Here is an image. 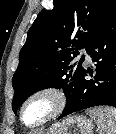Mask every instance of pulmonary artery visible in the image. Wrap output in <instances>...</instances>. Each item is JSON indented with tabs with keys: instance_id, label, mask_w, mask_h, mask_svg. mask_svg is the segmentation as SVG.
Masks as SVG:
<instances>
[{
	"instance_id": "e3ab8cb5",
	"label": "pulmonary artery",
	"mask_w": 116,
	"mask_h": 134,
	"mask_svg": "<svg viewBox=\"0 0 116 134\" xmlns=\"http://www.w3.org/2000/svg\"><path fill=\"white\" fill-rule=\"evenodd\" d=\"M80 58H84L87 62H90L91 61V56H90V54H88L86 52V50H82L80 52V55L78 56V59H80Z\"/></svg>"
}]
</instances>
